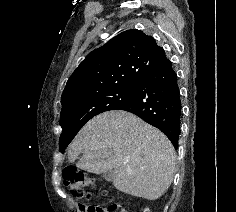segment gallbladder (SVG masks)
I'll return each instance as SVG.
<instances>
[{"label": "gallbladder", "mask_w": 236, "mask_h": 212, "mask_svg": "<svg viewBox=\"0 0 236 212\" xmlns=\"http://www.w3.org/2000/svg\"><path fill=\"white\" fill-rule=\"evenodd\" d=\"M102 177L106 180V181H109V182H112L115 178V173L113 170H109L105 173L102 174Z\"/></svg>", "instance_id": "bac80fb5"}]
</instances>
